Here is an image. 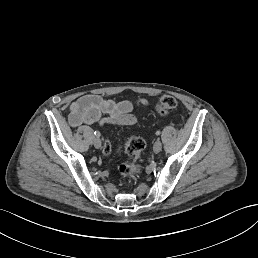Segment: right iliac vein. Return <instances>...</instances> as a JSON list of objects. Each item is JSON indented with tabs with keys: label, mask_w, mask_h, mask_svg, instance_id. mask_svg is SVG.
<instances>
[{
	"label": "right iliac vein",
	"mask_w": 258,
	"mask_h": 258,
	"mask_svg": "<svg viewBox=\"0 0 258 258\" xmlns=\"http://www.w3.org/2000/svg\"><path fill=\"white\" fill-rule=\"evenodd\" d=\"M93 144H94L96 147H101L102 141L99 139V137H94Z\"/></svg>",
	"instance_id": "right-iliac-vein-1"
}]
</instances>
